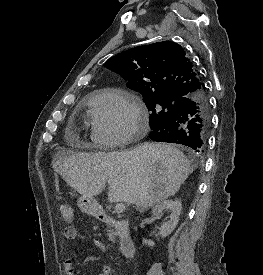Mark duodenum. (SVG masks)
I'll list each match as a JSON object with an SVG mask.
<instances>
[{"mask_svg":"<svg viewBox=\"0 0 263 275\" xmlns=\"http://www.w3.org/2000/svg\"><path fill=\"white\" fill-rule=\"evenodd\" d=\"M101 219L112 224L118 232L120 252L125 258H131L135 253V243L132 238L129 223L125 219H118L107 214H103Z\"/></svg>","mask_w":263,"mask_h":275,"instance_id":"duodenum-1","label":"duodenum"}]
</instances>
